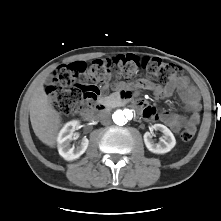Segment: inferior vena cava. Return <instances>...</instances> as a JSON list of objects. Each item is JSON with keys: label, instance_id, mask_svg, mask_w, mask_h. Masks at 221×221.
I'll use <instances>...</instances> for the list:
<instances>
[{"label": "inferior vena cava", "instance_id": "1", "mask_svg": "<svg viewBox=\"0 0 221 221\" xmlns=\"http://www.w3.org/2000/svg\"><path fill=\"white\" fill-rule=\"evenodd\" d=\"M98 118L103 125H108L111 122V115L108 111H101L98 115Z\"/></svg>", "mask_w": 221, "mask_h": 221}]
</instances>
